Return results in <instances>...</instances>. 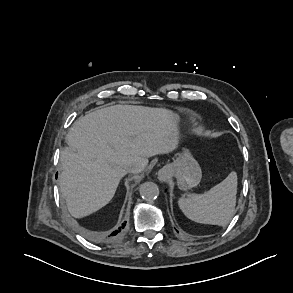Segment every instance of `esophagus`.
Here are the masks:
<instances>
[{"mask_svg":"<svg viewBox=\"0 0 293 293\" xmlns=\"http://www.w3.org/2000/svg\"><path fill=\"white\" fill-rule=\"evenodd\" d=\"M158 178L162 181H165L168 178V170L163 168L158 173Z\"/></svg>","mask_w":293,"mask_h":293,"instance_id":"esophagus-1","label":"esophagus"}]
</instances>
